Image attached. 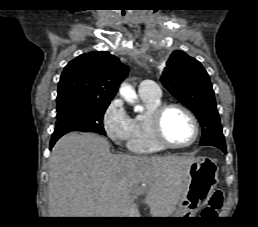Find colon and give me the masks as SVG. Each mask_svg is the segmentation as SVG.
Segmentation results:
<instances>
[{"instance_id":"5ec220e1","label":"colon","mask_w":258,"mask_h":227,"mask_svg":"<svg viewBox=\"0 0 258 227\" xmlns=\"http://www.w3.org/2000/svg\"><path fill=\"white\" fill-rule=\"evenodd\" d=\"M223 202V192L221 190H215L210 196L207 206L203 210L204 215H214L221 209Z\"/></svg>"}]
</instances>
